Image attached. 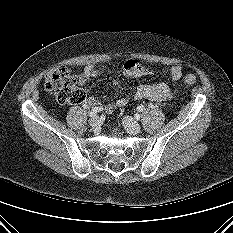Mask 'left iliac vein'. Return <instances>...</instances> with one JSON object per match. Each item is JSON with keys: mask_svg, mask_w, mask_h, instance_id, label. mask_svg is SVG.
<instances>
[{"mask_svg": "<svg viewBox=\"0 0 233 233\" xmlns=\"http://www.w3.org/2000/svg\"><path fill=\"white\" fill-rule=\"evenodd\" d=\"M122 122L128 133L138 134L141 132V126L134 118L130 116H125Z\"/></svg>", "mask_w": 233, "mask_h": 233, "instance_id": "obj_1", "label": "left iliac vein"}]
</instances>
